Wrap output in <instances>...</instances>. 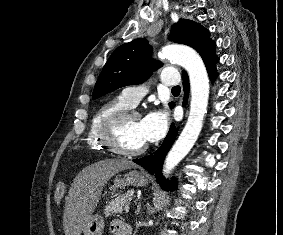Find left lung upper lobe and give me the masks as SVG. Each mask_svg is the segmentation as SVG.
Segmentation results:
<instances>
[{
    "mask_svg": "<svg viewBox=\"0 0 283 235\" xmlns=\"http://www.w3.org/2000/svg\"><path fill=\"white\" fill-rule=\"evenodd\" d=\"M169 39L194 48L202 57L206 68L218 62L216 44L209 32L192 20L180 19L173 25ZM152 49L146 39H134L119 46L106 62L93 91L97 99L117 88L140 84L162 63L151 59ZM187 75L183 72V76ZM172 108L173 103H170Z\"/></svg>",
    "mask_w": 283,
    "mask_h": 235,
    "instance_id": "obj_1",
    "label": "left lung upper lobe"
}]
</instances>
